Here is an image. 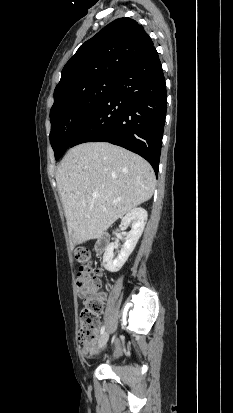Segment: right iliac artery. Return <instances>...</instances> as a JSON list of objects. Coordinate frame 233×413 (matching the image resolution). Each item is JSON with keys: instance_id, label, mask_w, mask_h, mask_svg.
<instances>
[{"instance_id": "82829eb1", "label": "right iliac artery", "mask_w": 233, "mask_h": 413, "mask_svg": "<svg viewBox=\"0 0 233 413\" xmlns=\"http://www.w3.org/2000/svg\"><path fill=\"white\" fill-rule=\"evenodd\" d=\"M104 331H105V326H102V327H101V330H100V334H103Z\"/></svg>"}]
</instances>
